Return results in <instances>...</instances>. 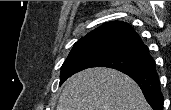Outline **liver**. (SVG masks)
I'll list each match as a JSON object with an SVG mask.
<instances>
[{"instance_id": "liver-1", "label": "liver", "mask_w": 171, "mask_h": 110, "mask_svg": "<svg viewBox=\"0 0 171 110\" xmlns=\"http://www.w3.org/2000/svg\"><path fill=\"white\" fill-rule=\"evenodd\" d=\"M57 110H151L140 87L120 71L98 67L66 82Z\"/></svg>"}]
</instances>
